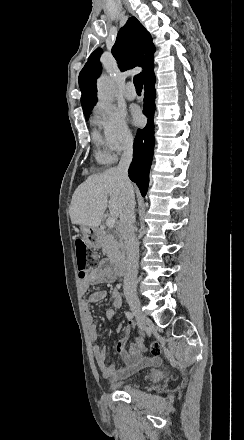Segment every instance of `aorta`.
<instances>
[{
  "label": "aorta",
  "instance_id": "1",
  "mask_svg": "<svg viewBox=\"0 0 244 440\" xmlns=\"http://www.w3.org/2000/svg\"><path fill=\"white\" fill-rule=\"evenodd\" d=\"M115 83L106 75H101L97 81L98 99L105 103H111L114 100Z\"/></svg>",
  "mask_w": 244,
  "mask_h": 440
}]
</instances>
